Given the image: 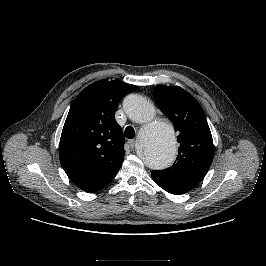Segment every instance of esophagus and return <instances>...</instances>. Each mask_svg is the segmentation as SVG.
Segmentation results:
<instances>
[{
    "label": "esophagus",
    "instance_id": "34e87169",
    "mask_svg": "<svg viewBox=\"0 0 266 266\" xmlns=\"http://www.w3.org/2000/svg\"><path fill=\"white\" fill-rule=\"evenodd\" d=\"M128 143L131 149L135 147V140H129Z\"/></svg>",
    "mask_w": 266,
    "mask_h": 266
}]
</instances>
